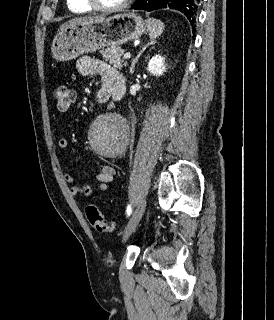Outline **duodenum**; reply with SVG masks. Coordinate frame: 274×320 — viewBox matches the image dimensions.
I'll use <instances>...</instances> for the list:
<instances>
[{
  "label": "duodenum",
  "mask_w": 274,
  "mask_h": 320,
  "mask_svg": "<svg viewBox=\"0 0 274 320\" xmlns=\"http://www.w3.org/2000/svg\"><path fill=\"white\" fill-rule=\"evenodd\" d=\"M108 100H109V95L104 91L98 92V94L96 95V101L98 103H106L108 102Z\"/></svg>",
  "instance_id": "1"
}]
</instances>
